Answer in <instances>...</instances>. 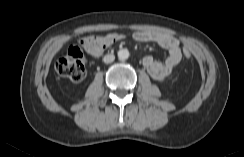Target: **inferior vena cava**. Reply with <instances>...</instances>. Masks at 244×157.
Wrapping results in <instances>:
<instances>
[{"mask_svg":"<svg viewBox=\"0 0 244 157\" xmlns=\"http://www.w3.org/2000/svg\"><path fill=\"white\" fill-rule=\"evenodd\" d=\"M115 60V56L113 54H107L103 57L104 63L108 64Z\"/></svg>","mask_w":244,"mask_h":157,"instance_id":"obj_1","label":"inferior vena cava"}]
</instances>
